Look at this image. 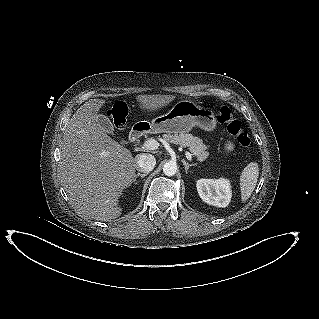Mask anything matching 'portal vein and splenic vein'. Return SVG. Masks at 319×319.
Listing matches in <instances>:
<instances>
[{
  "label": "portal vein and splenic vein",
  "mask_w": 319,
  "mask_h": 319,
  "mask_svg": "<svg viewBox=\"0 0 319 319\" xmlns=\"http://www.w3.org/2000/svg\"><path fill=\"white\" fill-rule=\"evenodd\" d=\"M158 146H159V143L155 139H149L145 141V143L143 144V148L147 150H155L158 148ZM185 155L187 160L189 161L192 160V154L190 152L187 151Z\"/></svg>",
  "instance_id": "portal-vein-and-splenic-vein-1"
}]
</instances>
